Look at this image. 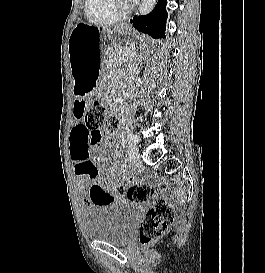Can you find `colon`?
<instances>
[{
    "label": "colon",
    "mask_w": 265,
    "mask_h": 273,
    "mask_svg": "<svg viewBox=\"0 0 265 273\" xmlns=\"http://www.w3.org/2000/svg\"><path fill=\"white\" fill-rule=\"evenodd\" d=\"M85 124L89 130V145L99 148L102 142L111 141L118 125V118L116 116L107 117L104 107L97 103L87 111ZM101 186H104V190H106L108 181L105 180ZM115 187L118 191L123 190V187L118 184ZM160 188L167 189L168 184L162 183ZM126 194L132 203L143 204L154 198L155 190L149 182H136L129 185ZM182 201L181 190H175L171 198H154L139 229L138 239L142 246L150 245L171 228L174 223L176 205Z\"/></svg>",
    "instance_id": "colon-1"
}]
</instances>
